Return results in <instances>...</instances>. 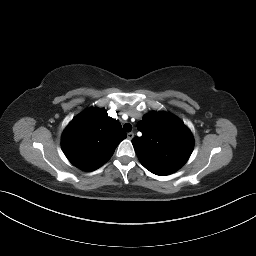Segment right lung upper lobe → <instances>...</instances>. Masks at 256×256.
<instances>
[{
    "label": "right lung upper lobe",
    "instance_id": "1",
    "mask_svg": "<svg viewBox=\"0 0 256 256\" xmlns=\"http://www.w3.org/2000/svg\"><path fill=\"white\" fill-rule=\"evenodd\" d=\"M104 109H88L66 127L61 146L68 160L85 171H94L107 162L117 145L127 137L121 124Z\"/></svg>",
    "mask_w": 256,
    "mask_h": 256
}]
</instances>
